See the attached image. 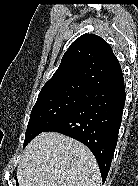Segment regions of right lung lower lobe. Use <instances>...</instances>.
I'll list each match as a JSON object with an SVG mask.
<instances>
[{
	"label": "right lung lower lobe",
	"instance_id": "obj_1",
	"mask_svg": "<svg viewBox=\"0 0 138 186\" xmlns=\"http://www.w3.org/2000/svg\"><path fill=\"white\" fill-rule=\"evenodd\" d=\"M125 104L124 84L92 89L87 99L46 131L58 132L85 144L106 180L117 144Z\"/></svg>",
	"mask_w": 138,
	"mask_h": 186
}]
</instances>
